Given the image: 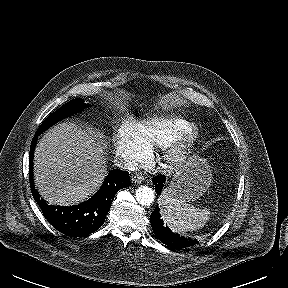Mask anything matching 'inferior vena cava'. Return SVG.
Segmentation results:
<instances>
[{"label":"inferior vena cava","instance_id":"inferior-vena-cava-1","mask_svg":"<svg viewBox=\"0 0 288 288\" xmlns=\"http://www.w3.org/2000/svg\"><path fill=\"white\" fill-rule=\"evenodd\" d=\"M114 165L122 170H129V171H135L137 169L136 163L130 158H116L114 159Z\"/></svg>","mask_w":288,"mask_h":288}]
</instances>
